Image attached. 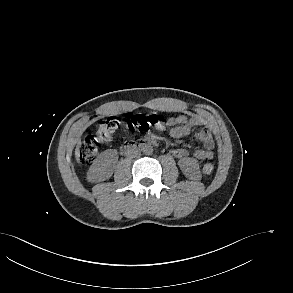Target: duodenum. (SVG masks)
<instances>
[{"label": "duodenum", "instance_id": "duodenum-1", "mask_svg": "<svg viewBox=\"0 0 293 293\" xmlns=\"http://www.w3.org/2000/svg\"><path fill=\"white\" fill-rule=\"evenodd\" d=\"M156 139L154 137L148 136L147 138L139 141H128L125 142L120 149L122 155H131L135 150L156 145Z\"/></svg>", "mask_w": 293, "mask_h": 293}]
</instances>
